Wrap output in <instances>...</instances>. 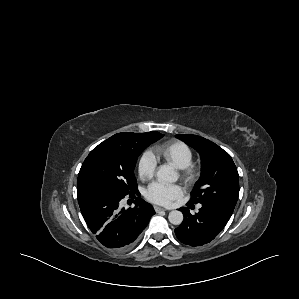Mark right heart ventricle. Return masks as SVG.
Here are the masks:
<instances>
[{"mask_svg":"<svg viewBox=\"0 0 299 299\" xmlns=\"http://www.w3.org/2000/svg\"><path fill=\"white\" fill-rule=\"evenodd\" d=\"M157 153L174 167L181 169L192 162V149L182 141H169L157 148Z\"/></svg>","mask_w":299,"mask_h":299,"instance_id":"right-heart-ventricle-1","label":"right heart ventricle"}]
</instances>
